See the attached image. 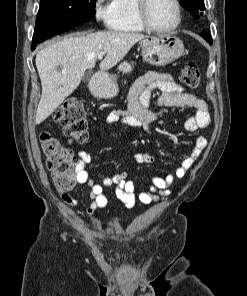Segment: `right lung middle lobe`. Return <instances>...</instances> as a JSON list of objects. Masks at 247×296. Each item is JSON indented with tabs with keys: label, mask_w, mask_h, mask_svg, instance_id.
Listing matches in <instances>:
<instances>
[{
	"label": "right lung middle lobe",
	"mask_w": 247,
	"mask_h": 296,
	"mask_svg": "<svg viewBox=\"0 0 247 296\" xmlns=\"http://www.w3.org/2000/svg\"><path fill=\"white\" fill-rule=\"evenodd\" d=\"M96 0H40L33 44L74 28L95 15Z\"/></svg>",
	"instance_id": "obj_1"
}]
</instances>
